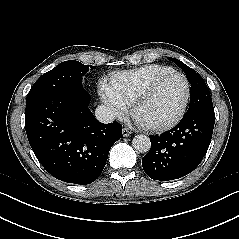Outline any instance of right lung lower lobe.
<instances>
[{"mask_svg":"<svg viewBox=\"0 0 239 239\" xmlns=\"http://www.w3.org/2000/svg\"><path fill=\"white\" fill-rule=\"evenodd\" d=\"M89 101L86 91L26 100L25 129L30 146L46 171L67 183L95 181L110 148L122 137L121 125L99 122L88 108Z\"/></svg>","mask_w":239,"mask_h":239,"instance_id":"right-lung-lower-lobe-1","label":"right lung lower lobe"}]
</instances>
